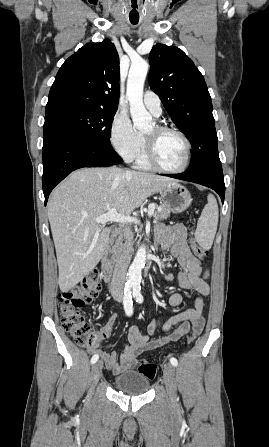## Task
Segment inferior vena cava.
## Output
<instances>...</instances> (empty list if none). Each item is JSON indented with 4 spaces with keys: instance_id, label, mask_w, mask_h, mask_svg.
Here are the masks:
<instances>
[{
    "instance_id": "602c4592",
    "label": "inferior vena cava",
    "mask_w": 269,
    "mask_h": 447,
    "mask_svg": "<svg viewBox=\"0 0 269 447\" xmlns=\"http://www.w3.org/2000/svg\"><path fill=\"white\" fill-rule=\"evenodd\" d=\"M124 237V249L115 263L112 281L110 283V291L112 295H120V293H123V287L126 281V271L133 251V231H131L130 227H125Z\"/></svg>"
}]
</instances>
